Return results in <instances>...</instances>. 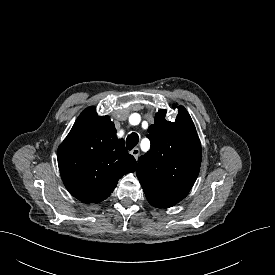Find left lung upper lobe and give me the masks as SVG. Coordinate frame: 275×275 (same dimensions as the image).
I'll list each match as a JSON object with an SVG mask.
<instances>
[{
  "instance_id": "left-lung-upper-lobe-1",
  "label": "left lung upper lobe",
  "mask_w": 275,
  "mask_h": 275,
  "mask_svg": "<svg viewBox=\"0 0 275 275\" xmlns=\"http://www.w3.org/2000/svg\"><path fill=\"white\" fill-rule=\"evenodd\" d=\"M174 122L160 110L148 129L150 150L138 159L137 177L146 194L157 200L179 202L199 174L202 150L194 123L183 106Z\"/></svg>"
}]
</instances>
